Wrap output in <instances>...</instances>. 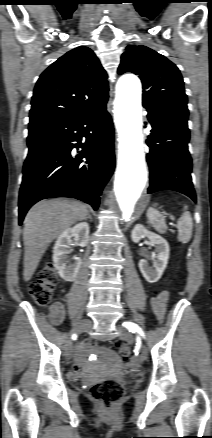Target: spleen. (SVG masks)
<instances>
[{"mask_svg": "<svg viewBox=\"0 0 212 438\" xmlns=\"http://www.w3.org/2000/svg\"><path fill=\"white\" fill-rule=\"evenodd\" d=\"M147 217L154 227V229L163 234L167 230V225L164 216L155 208L149 207L147 210ZM178 229V241L185 244L188 243L192 237L193 222L189 211H187V206H184V212L177 221Z\"/></svg>", "mask_w": 212, "mask_h": 438, "instance_id": "3e777b00", "label": "spleen"}]
</instances>
